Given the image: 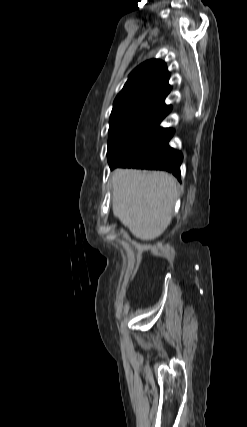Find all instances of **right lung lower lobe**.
<instances>
[{
	"mask_svg": "<svg viewBox=\"0 0 247 427\" xmlns=\"http://www.w3.org/2000/svg\"><path fill=\"white\" fill-rule=\"evenodd\" d=\"M171 109V106H164L140 122L109 161L110 168L160 169L172 172L180 179L183 155L168 145L174 130L160 127Z\"/></svg>",
	"mask_w": 247,
	"mask_h": 427,
	"instance_id": "right-lung-lower-lobe-1",
	"label": "right lung lower lobe"
}]
</instances>
